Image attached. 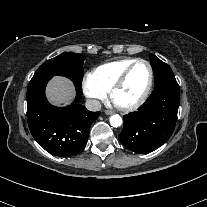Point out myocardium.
<instances>
[{
  "label": "myocardium",
  "mask_w": 207,
  "mask_h": 207,
  "mask_svg": "<svg viewBox=\"0 0 207 207\" xmlns=\"http://www.w3.org/2000/svg\"><path fill=\"white\" fill-rule=\"evenodd\" d=\"M140 63L145 64L148 68V71H149V80H148V84L146 86V89L144 90L141 97L138 100H136L135 102H133L131 104H127V105L118 104L114 98L115 94L122 88V86L124 85L128 75L130 74L132 69L137 64H140ZM153 83H154V73H153V68H152L151 64L147 60L136 59L122 72V74L118 77V79L115 81V83L111 87L110 94H109L110 99L114 103V105L121 111L130 112V111L136 110L147 100V98L152 90Z\"/></svg>",
  "instance_id": "f54148a6"
}]
</instances>
